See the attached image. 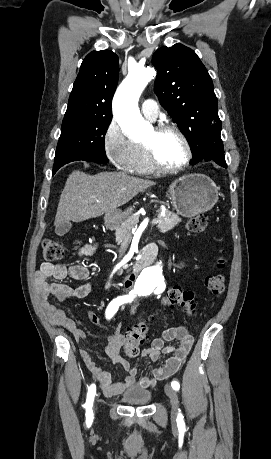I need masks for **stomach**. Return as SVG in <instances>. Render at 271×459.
Masks as SVG:
<instances>
[{"label": "stomach", "instance_id": "0dacf381", "mask_svg": "<svg viewBox=\"0 0 271 459\" xmlns=\"http://www.w3.org/2000/svg\"><path fill=\"white\" fill-rule=\"evenodd\" d=\"M172 198L174 210L184 218H194L212 210L218 200V188L208 176L204 174H189L172 182L168 188ZM128 212H109L105 220L108 224H120L129 216Z\"/></svg>", "mask_w": 271, "mask_h": 459}]
</instances>
